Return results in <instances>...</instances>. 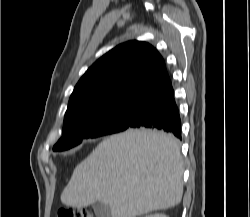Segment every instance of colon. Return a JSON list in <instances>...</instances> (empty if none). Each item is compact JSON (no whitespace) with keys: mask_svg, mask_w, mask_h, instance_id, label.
Segmentation results:
<instances>
[{"mask_svg":"<svg viewBox=\"0 0 250 217\" xmlns=\"http://www.w3.org/2000/svg\"><path fill=\"white\" fill-rule=\"evenodd\" d=\"M57 217H92V215L86 209L65 208L57 213Z\"/></svg>","mask_w":250,"mask_h":217,"instance_id":"1","label":"colon"}]
</instances>
